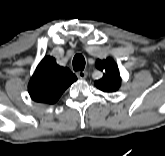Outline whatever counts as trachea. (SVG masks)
<instances>
[{
	"label": "trachea",
	"instance_id": "obj_1",
	"mask_svg": "<svg viewBox=\"0 0 165 156\" xmlns=\"http://www.w3.org/2000/svg\"><path fill=\"white\" fill-rule=\"evenodd\" d=\"M85 68V59L81 54H76L73 58V69L82 71Z\"/></svg>",
	"mask_w": 165,
	"mask_h": 156
}]
</instances>
